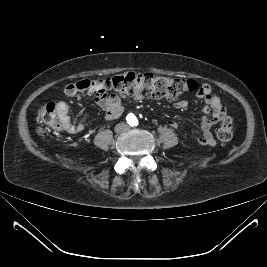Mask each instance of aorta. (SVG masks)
Here are the masks:
<instances>
[{"instance_id": "aorta-1", "label": "aorta", "mask_w": 267, "mask_h": 267, "mask_svg": "<svg viewBox=\"0 0 267 267\" xmlns=\"http://www.w3.org/2000/svg\"><path fill=\"white\" fill-rule=\"evenodd\" d=\"M129 121L130 122H133V123H135L136 122V118H135V116L134 115H131V116H129Z\"/></svg>"}]
</instances>
